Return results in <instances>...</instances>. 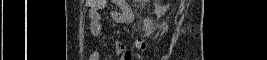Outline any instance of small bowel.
<instances>
[{"label": "small bowel", "instance_id": "c3829d8e", "mask_svg": "<svg viewBox=\"0 0 267 60\" xmlns=\"http://www.w3.org/2000/svg\"><path fill=\"white\" fill-rule=\"evenodd\" d=\"M97 1V3H96ZM119 10L111 13V18L114 22L120 24H129L133 21V11L127 1L115 0ZM105 0H89L87 2V13L90 20L89 32L95 37L99 38L103 33V23L100 14V10L105 6ZM115 54L121 58V60H131L132 55L129 51H126L125 44L121 40H117L115 43ZM101 54L98 50L91 52L89 60H100Z\"/></svg>", "mask_w": 267, "mask_h": 60}]
</instances>
